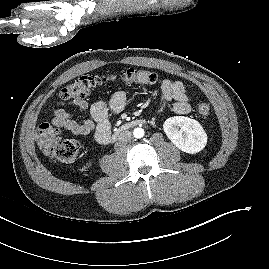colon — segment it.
Masks as SVG:
<instances>
[{
	"label": "colon",
	"mask_w": 269,
	"mask_h": 269,
	"mask_svg": "<svg viewBox=\"0 0 269 269\" xmlns=\"http://www.w3.org/2000/svg\"><path fill=\"white\" fill-rule=\"evenodd\" d=\"M117 81L155 85L159 83L160 78L154 72L133 68L107 75H84L66 85L61 90L60 97L69 102L84 100L97 88ZM211 109V103L208 101L200 102L196 106V112L202 118L209 117ZM36 135L41 148L56 160L69 162L75 159L78 154V142L61 137L57 129L49 123H41L37 128Z\"/></svg>",
	"instance_id": "1"
}]
</instances>
